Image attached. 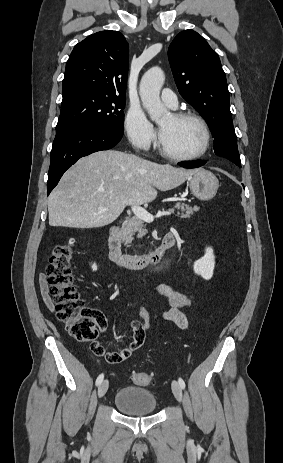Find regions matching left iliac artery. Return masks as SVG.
I'll use <instances>...</instances> for the list:
<instances>
[{
  "label": "left iliac artery",
  "mask_w": 283,
  "mask_h": 463,
  "mask_svg": "<svg viewBox=\"0 0 283 463\" xmlns=\"http://www.w3.org/2000/svg\"><path fill=\"white\" fill-rule=\"evenodd\" d=\"M178 382H179V385L181 386V388L184 389L185 388L184 380L182 378H179Z\"/></svg>",
  "instance_id": "left-iliac-artery-1"
}]
</instances>
